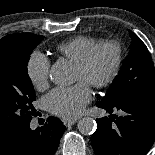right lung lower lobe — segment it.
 <instances>
[{"label":"right lung lower lobe","instance_id":"right-lung-lower-lobe-1","mask_svg":"<svg viewBox=\"0 0 155 155\" xmlns=\"http://www.w3.org/2000/svg\"><path fill=\"white\" fill-rule=\"evenodd\" d=\"M66 127L49 117L41 128L31 130L29 124L18 130L0 133V155H53Z\"/></svg>","mask_w":155,"mask_h":155}]
</instances>
